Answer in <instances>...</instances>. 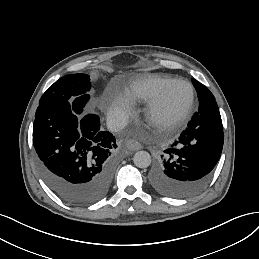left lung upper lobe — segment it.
Segmentation results:
<instances>
[{
    "mask_svg": "<svg viewBox=\"0 0 259 259\" xmlns=\"http://www.w3.org/2000/svg\"><path fill=\"white\" fill-rule=\"evenodd\" d=\"M192 82H193V84H194V86L197 90L199 102H203V101H206V100H209V99H215L213 94L210 92V90L206 86L199 83L195 79H192Z\"/></svg>",
    "mask_w": 259,
    "mask_h": 259,
    "instance_id": "left-lung-upper-lobe-1",
    "label": "left lung upper lobe"
}]
</instances>
